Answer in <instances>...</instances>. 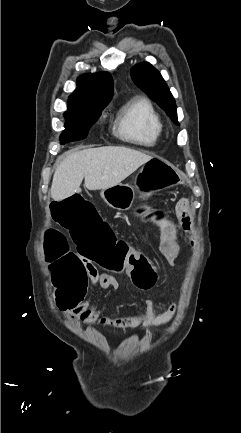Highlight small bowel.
Segmentation results:
<instances>
[{
	"label": "small bowel",
	"mask_w": 241,
	"mask_h": 433,
	"mask_svg": "<svg viewBox=\"0 0 241 433\" xmlns=\"http://www.w3.org/2000/svg\"><path fill=\"white\" fill-rule=\"evenodd\" d=\"M175 214L179 220L177 226L185 233L192 235L193 216L188 199L181 198L177 202ZM191 243H193L192 239ZM175 252L177 254L178 249ZM161 253L166 264L171 266L173 261L168 259L166 251H161ZM80 259L81 263L84 264V267L88 268V280L97 284L103 290L116 291L119 288L118 279L113 274L104 270H99L92 261H87L85 257H80ZM175 311L176 305L172 304L168 309L157 314L153 302L147 300L144 302L143 311L137 315L109 318L103 316L102 309L90 304L88 301H85L84 305H75V310L73 312H66V314L71 319L84 325L98 323L103 327L109 328L125 329L142 326L143 328L148 329L167 324L173 318Z\"/></svg>",
	"instance_id": "obj_1"
}]
</instances>
